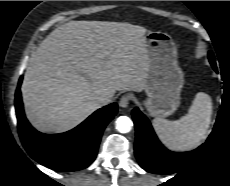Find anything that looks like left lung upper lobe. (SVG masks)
<instances>
[{"label":"left lung upper lobe","mask_w":230,"mask_h":186,"mask_svg":"<svg viewBox=\"0 0 230 186\" xmlns=\"http://www.w3.org/2000/svg\"><path fill=\"white\" fill-rule=\"evenodd\" d=\"M209 61H210L211 65H212V67H213L215 70H217L216 64H215L214 55H213V53H212L211 51L209 52Z\"/></svg>","instance_id":"obj_1"}]
</instances>
